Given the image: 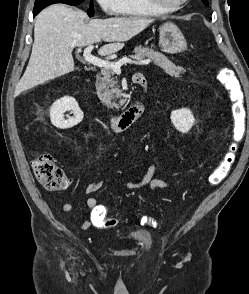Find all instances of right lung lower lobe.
Returning a JSON list of instances; mask_svg holds the SVG:
<instances>
[{"mask_svg":"<svg viewBox=\"0 0 249 294\" xmlns=\"http://www.w3.org/2000/svg\"><path fill=\"white\" fill-rule=\"evenodd\" d=\"M42 9H34L33 16H36Z\"/></svg>","mask_w":249,"mask_h":294,"instance_id":"1","label":"right lung lower lobe"}]
</instances>
